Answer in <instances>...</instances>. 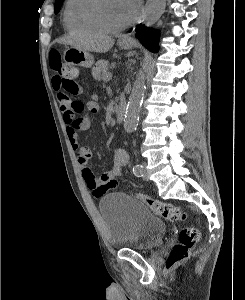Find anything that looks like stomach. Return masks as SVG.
Returning <instances> with one entry per match:
<instances>
[{
  "instance_id": "stomach-1",
  "label": "stomach",
  "mask_w": 245,
  "mask_h": 300,
  "mask_svg": "<svg viewBox=\"0 0 245 300\" xmlns=\"http://www.w3.org/2000/svg\"><path fill=\"white\" fill-rule=\"evenodd\" d=\"M119 45L124 49H130L132 44L130 42H119ZM64 60L74 66L90 68L94 63V57L84 50L75 47H68L64 51Z\"/></svg>"
}]
</instances>
